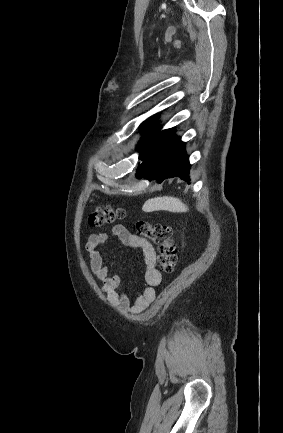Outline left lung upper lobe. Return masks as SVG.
<instances>
[{
  "instance_id": "obj_1",
  "label": "left lung upper lobe",
  "mask_w": 283,
  "mask_h": 433,
  "mask_svg": "<svg viewBox=\"0 0 283 433\" xmlns=\"http://www.w3.org/2000/svg\"><path fill=\"white\" fill-rule=\"evenodd\" d=\"M140 128L144 130V132H143L144 137L142 139V143L138 147V149L141 150V148L143 147L144 143L146 142V140L148 139V137L150 136L152 131L156 129L155 117H151L150 119L146 120L144 123L141 124ZM171 130H173V129H171Z\"/></svg>"
}]
</instances>
